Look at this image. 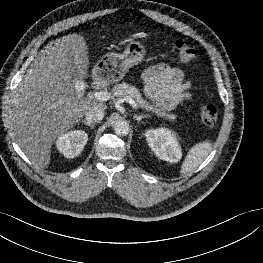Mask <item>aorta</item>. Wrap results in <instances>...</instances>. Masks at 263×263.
Returning a JSON list of instances; mask_svg holds the SVG:
<instances>
[{"label": "aorta", "mask_w": 263, "mask_h": 263, "mask_svg": "<svg viewBox=\"0 0 263 263\" xmlns=\"http://www.w3.org/2000/svg\"><path fill=\"white\" fill-rule=\"evenodd\" d=\"M113 128L115 134L119 136H126L129 133V124L124 120H117Z\"/></svg>", "instance_id": "aorta-1"}]
</instances>
